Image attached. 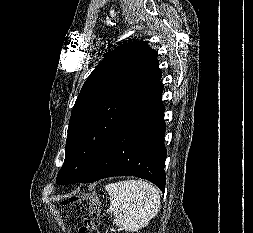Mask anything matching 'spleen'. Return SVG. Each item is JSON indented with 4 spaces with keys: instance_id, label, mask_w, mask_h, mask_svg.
<instances>
[{
    "instance_id": "1",
    "label": "spleen",
    "mask_w": 253,
    "mask_h": 233,
    "mask_svg": "<svg viewBox=\"0 0 253 233\" xmlns=\"http://www.w3.org/2000/svg\"><path fill=\"white\" fill-rule=\"evenodd\" d=\"M110 196V211L116 226L129 232L146 227L160 209V193L143 180H125L105 186Z\"/></svg>"
}]
</instances>
